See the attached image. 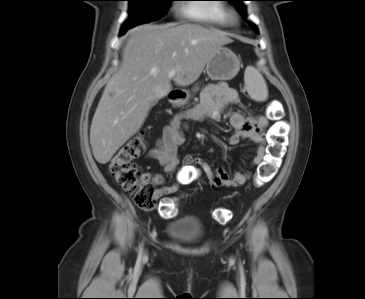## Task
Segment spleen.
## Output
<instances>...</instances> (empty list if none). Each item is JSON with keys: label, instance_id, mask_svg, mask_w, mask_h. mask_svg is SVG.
<instances>
[{"label": "spleen", "instance_id": "1", "mask_svg": "<svg viewBox=\"0 0 365 299\" xmlns=\"http://www.w3.org/2000/svg\"><path fill=\"white\" fill-rule=\"evenodd\" d=\"M244 82L247 92L253 100L262 102L268 98V88L265 79L258 69L248 66L245 69Z\"/></svg>", "mask_w": 365, "mask_h": 299}]
</instances>
